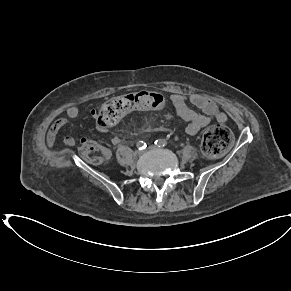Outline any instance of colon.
I'll return each mask as SVG.
<instances>
[{
    "label": "colon",
    "mask_w": 291,
    "mask_h": 291,
    "mask_svg": "<svg viewBox=\"0 0 291 291\" xmlns=\"http://www.w3.org/2000/svg\"><path fill=\"white\" fill-rule=\"evenodd\" d=\"M164 98L152 91H137L107 101L97 116L100 128H108L118 123L132 112L154 111L164 108ZM233 143L231 131L224 125L210 127L202 138V149L210 157L225 153ZM82 156L93 164H102L108 158L107 150L93 142L87 141L80 148Z\"/></svg>",
    "instance_id": "5ec220e1"
}]
</instances>
